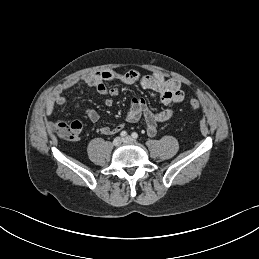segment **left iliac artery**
<instances>
[{
	"mask_svg": "<svg viewBox=\"0 0 259 259\" xmlns=\"http://www.w3.org/2000/svg\"><path fill=\"white\" fill-rule=\"evenodd\" d=\"M134 139H137L138 138V134L136 132H133L132 135H131Z\"/></svg>",
	"mask_w": 259,
	"mask_h": 259,
	"instance_id": "obj_1",
	"label": "left iliac artery"
}]
</instances>
